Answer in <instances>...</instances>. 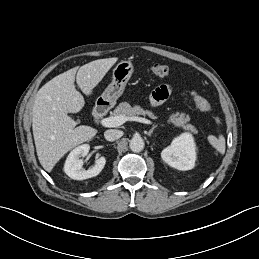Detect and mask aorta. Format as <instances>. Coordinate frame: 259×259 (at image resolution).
<instances>
[{
	"instance_id": "obj_1",
	"label": "aorta",
	"mask_w": 259,
	"mask_h": 259,
	"mask_svg": "<svg viewBox=\"0 0 259 259\" xmlns=\"http://www.w3.org/2000/svg\"><path fill=\"white\" fill-rule=\"evenodd\" d=\"M129 146L133 152H140L144 149V140L140 136H134L130 140Z\"/></svg>"
}]
</instances>
